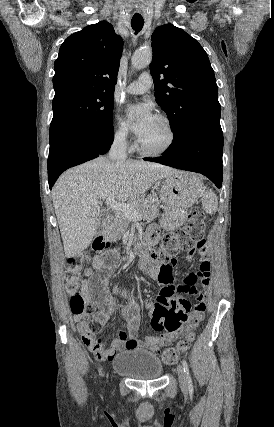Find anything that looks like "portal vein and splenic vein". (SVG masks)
<instances>
[{
    "label": "portal vein and splenic vein",
    "mask_w": 274,
    "mask_h": 427,
    "mask_svg": "<svg viewBox=\"0 0 274 427\" xmlns=\"http://www.w3.org/2000/svg\"><path fill=\"white\" fill-rule=\"evenodd\" d=\"M106 202L109 208H112L115 212H123L124 215L131 217V219H142V214L135 210L133 204H122V202H116L114 198H107Z\"/></svg>",
    "instance_id": "obj_1"
}]
</instances>
